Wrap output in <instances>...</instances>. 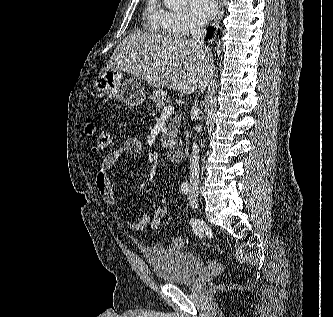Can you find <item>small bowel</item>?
I'll list each match as a JSON object with an SVG mask.
<instances>
[{
    "mask_svg": "<svg viewBox=\"0 0 333 317\" xmlns=\"http://www.w3.org/2000/svg\"><path fill=\"white\" fill-rule=\"evenodd\" d=\"M141 150V141L134 136L128 137L122 146L112 150L103 158L95 180L96 188L106 205L111 210L115 221L131 231L143 230L148 224H150L152 215L144 214L139 219H132L121 212L110 181V172L122 157L136 155L140 153Z\"/></svg>",
    "mask_w": 333,
    "mask_h": 317,
    "instance_id": "1",
    "label": "small bowel"
}]
</instances>
